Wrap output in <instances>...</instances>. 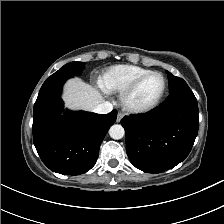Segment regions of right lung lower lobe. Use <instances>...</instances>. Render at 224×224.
<instances>
[{
    "label": "right lung lower lobe",
    "instance_id": "1",
    "mask_svg": "<svg viewBox=\"0 0 224 224\" xmlns=\"http://www.w3.org/2000/svg\"><path fill=\"white\" fill-rule=\"evenodd\" d=\"M70 77L53 74L42 85L33 109V141L50 170L78 175L95 165L100 144L116 121L117 111L106 115L83 111L61 115V90Z\"/></svg>",
    "mask_w": 224,
    "mask_h": 224
}]
</instances>
